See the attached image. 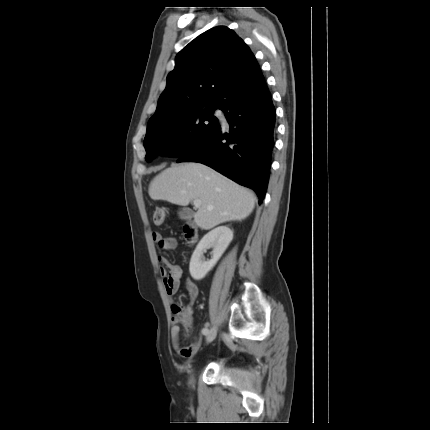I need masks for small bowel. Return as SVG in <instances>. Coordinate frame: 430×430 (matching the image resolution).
I'll use <instances>...</instances> for the list:
<instances>
[{"label": "small bowel", "mask_w": 430, "mask_h": 430, "mask_svg": "<svg viewBox=\"0 0 430 430\" xmlns=\"http://www.w3.org/2000/svg\"><path fill=\"white\" fill-rule=\"evenodd\" d=\"M153 240L158 244V246L166 251H172L176 248L177 243L174 238H165L159 233H153ZM159 269L162 276V284L165 286L164 291L168 295H173L177 293L181 287L182 279H183V270L179 265H173L168 263V261L164 258H159ZM166 267L169 269L170 274H166ZM186 290L188 294V298L190 301L196 299L198 295V286L195 282L190 279L185 281ZM189 312L190 307H187ZM190 318V316H189ZM173 326L171 328V345L173 350L179 357L185 359H191L197 353L200 347V341L197 340L189 346L181 347L179 342V320L175 317L172 319ZM209 324L206 323L204 327L201 329V333L204 335V330L208 329Z\"/></svg>", "instance_id": "small-bowel-1"}]
</instances>
